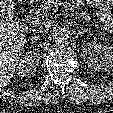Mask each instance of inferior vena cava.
Here are the masks:
<instances>
[{
	"mask_svg": "<svg viewBox=\"0 0 113 113\" xmlns=\"http://www.w3.org/2000/svg\"><path fill=\"white\" fill-rule=\"evenodd\" d=\"M50 28H51V25L50 24L44 23V24H41V25L37 26L33 30V32L36 33V34H42V33L47 32Z\"/></svg>",
	"mask_w": 113,
	"mask_h": 113,
	"instance_id": "1",
	"label": "inferior vena cava"
}]
</instances>
